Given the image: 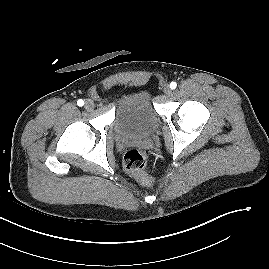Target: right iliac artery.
<instances>
[{
  "instance_id": "right-iliac-artery-1",
  "label": "right iliac artery",
  "mask_w": 269,
  "mask_h": 269,
  "mask_svg": "<svg viewBox=\"0 0 269 269\" xmlns=\"http://www.w3.org/2000/svg\"><path fill=\"white\" fill-rule=\"evenodd\" d=\"M77 105L80 106V107L83 106L84 105V101L82 99H79L77 101Z\"/></svg>"
}]
</instances>
